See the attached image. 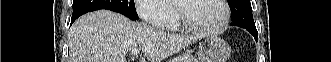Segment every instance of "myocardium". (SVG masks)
I'll list each match as a JSON object with an SVG mask.
<instances>
[{"instance_id": "f54148a6", "label": "myocardium", "mask_w": 331, "mask_h": 62, "mask_svg": "<svg viewBox=\"0 0 331 62\" xmlns=\"http://www.w3.org/2000/svg\"><path fill=\"white\" fill-rule=\"evenodd\" d=\"M218 1L221 4V6L223 7V18H222V21L219 24V26H217L216 28H212V29H204V28H200V27H197V26L191 24L188 21V19L186 18L184 11H183L182 3L184 1H175L174 3L176 6V9H177L179 25L188 32L200 34V35H214V34L220 33L221 31H223L226 28V26L229 22L230 10H229L227 1H225V0H218Z\"/></svg>"}]
</instances>
